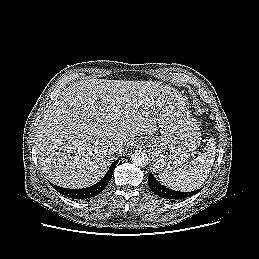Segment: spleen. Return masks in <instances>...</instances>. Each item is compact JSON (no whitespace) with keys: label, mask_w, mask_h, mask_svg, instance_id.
<instances>
[{"label":"spleen","mask_w":259,"mask_h":259,"mask_svg":"<svg viewBox=\"0 0 259 259\" xmlns=\"http://www.w3.org/2000/svg\"><path fill=\"white\" fill-rule=\"evenodd\" d=\"M216 141L210 138L204 153L171 172L159 174L160 181L167 187L178 191H193L201 187L215 161Z\"/></svg>","instance_id":"spleen-1"}]
</instances>
